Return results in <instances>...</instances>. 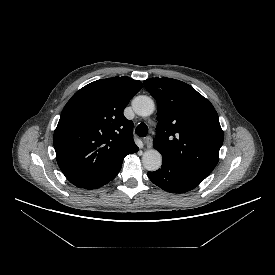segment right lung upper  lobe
Returning <instances> with one entry per match:
<instances>
[{"label":"right lung upper lobe","instance_id":"1","mask_svg":"<svg viewBox=\"0 0 275 275\" xmlns=\"http://www.w3.org/2000/svg\"><path fill=\"white\" fill-rule=\"evenodd\" d=\"M141 88V81L127 76L100 79L67 102L53 144L57 163L72 184L84 188L108 177L127 154L139 150L123 110Z\"/></svg>","mask_w":275,"mask_h":275}]
</instances>
